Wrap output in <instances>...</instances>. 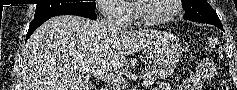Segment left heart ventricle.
Masks as SVG:
<instances>
[{"mask_svg": "<svg viewBox=\"0 0 237 90\" xmlns=\"http://www.w3.org/2000/svg\"><path fill=\"white\" fill-rule=\"evenodd\" d=\"M170 0H146L136 1V7L141 17L146 19H156L168 13Z\"/></svg>", "mask_w": 237, "mask_h": 90, "instance_id": "left-heart-ventricle-1", "label": "left heart ventricle"}]
</instances>
